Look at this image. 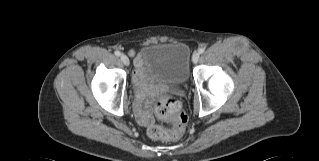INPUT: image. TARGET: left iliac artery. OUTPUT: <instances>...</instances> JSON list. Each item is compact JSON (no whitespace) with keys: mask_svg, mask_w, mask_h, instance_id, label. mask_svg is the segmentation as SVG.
<instances>
[{"mask_svg":"<svg viewBox=\"0 0 319 161\" xmlns=\"http://www.w3.org/2000/svg\"><path fill=\"white\" fill-rule=\"evenodd\" d=\"M204 51H205L204 48H200L198 52H199L200 54H202Z\"/></svg>","mask_w":319,"mask_h":161,"instance_id":"44dca946","label":"left iliac artery"}]
</instances>
